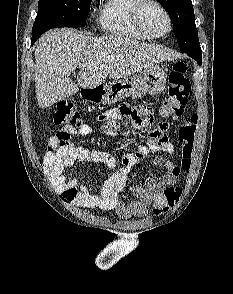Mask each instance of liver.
<instances>
[{
    "mask_svg": "<svg viewBox=\"0 0 233 294\" xmlns=\"http://www.w3.org/2000/svg\"><path fill=\"white\" fill-rule=\"evenodd\" d=\"M35 55V88L39 107L47 108L107 78H126L173 55L155 44L120 36L89 37L75 29H53L39 39ZM79 69L77 84L70 78Z\"/></svg>",
    "mask_w": 233,
    "mask_h": 294,
    "instance_id": "obj_1",
    "label": "liver"
}]
</instances>
